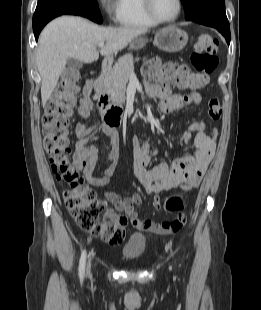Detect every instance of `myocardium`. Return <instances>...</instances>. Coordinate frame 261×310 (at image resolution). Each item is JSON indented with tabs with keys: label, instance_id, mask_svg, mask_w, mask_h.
<instances>
[{
	"label": "myocardium",
	"instance_id": "1",
	"mask_svg": "<svg viewBox=\"0 0 261 310\" xmlns=\"http://www.w3.org/2000/svg\"><path fill=\"white\" fill-rule=\"evenodd\" d=\"M176 1H177V5H178L177 12L170 19H162L156 15V13L154 12V9H153V1L152 0H143V6H144L145 12L148 15V17L150 19H152L154 22H156L157 24H169V23L175 22L179 18L180 14L182 12V7H183L182 0H176Z\"/></svg>",
	"mask_w": 261,
	"mask_h": 310
}]
</instances>
